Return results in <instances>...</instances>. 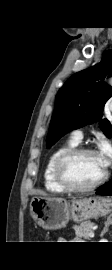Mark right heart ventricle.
<instances>
[{"label": "right heart ventricle", "instance_id": "obj_1", "mask_svg": "<svg viewBox=\"0 0 112 270\" xmlns=\"http://www.w3.org/2000/svg\"><path fill=\"white\" fill-rule=\"evenodd\" d=\"M77 144L78 143L73 139H69L67 142H65L64 144L60 145L55 150H53V152L50 154L43 171L44 186L49 192L55 194H63L66 192V190L63 189L55 179L54 176L55 162L62 153L76 147Z\"/></svg>", "mask_w": 112, "mask_h": 270}]
</instances>
